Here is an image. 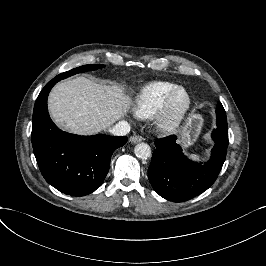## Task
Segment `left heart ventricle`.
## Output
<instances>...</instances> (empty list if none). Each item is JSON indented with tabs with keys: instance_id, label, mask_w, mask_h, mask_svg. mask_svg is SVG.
Here are the masks:
<instances>
[{
	"instance_id": "obj_1",
	"label": "left heart ventricle",
	"mask_w": 266,
	"mask_h": 266,
	"mask_svg": "<svg viewBox=\"0 0 266 266\" xmlns=\"http://www.w3.org/2000/svg\"><path fill=\"white\" fill-rule=\"evenodd\" d=\"M186 106H187L186 94L183 91H180L176 95L172 103V107H171L172 116L174 118L179 117L182 114V112L185 110Z\"/></svg>"
}]
</instances>
